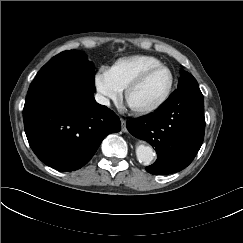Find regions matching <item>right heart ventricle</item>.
Wrapping results in <instances>:
<instances>
[{"label":"right heart ventricle","instance_id":"obj_1","mask_svg":"<svg viewBox=\"0 0 243 243\" xmlns=\"http://www.w3.org/2000/svg\"><path fill=\"white\" fill-rule=\"evenodd\" d=\"M158 64L161 62L155 57L136 55L118 59L109 72L115 85L123 91L141 71Z\"/></svg>","mask_w":243,"mask_h":243}]
</instances>
